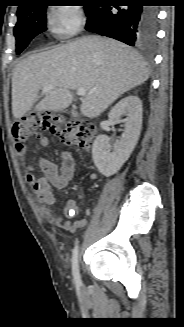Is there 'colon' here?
I'll use <instances>...</instances> for the list:
<instances>
[{
  "mask_svg": "<svg viewBox=\"0 0 184 327\" xmlns=\"http://www.w3.org/2000/svg\"><path fill=\"white\" fill-rule=\"evenodd\" d=\"M40 130H49L58 136L62 143L80 149H89L96 134L95 125L88 120H66L62 115L47 112L28 113L12 125V135L20 157L27 154V141Z\"/></svg>",
  "mask_w": 184,
  "mask_h": 327,
  "instance_id": "1",
  "label": "colon"
}]
</instances>
